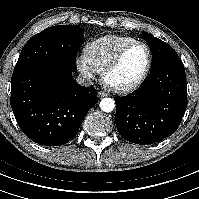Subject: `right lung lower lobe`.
I'll use <instances>...</instances> for the list:
<instances>
[{"instance_id": "98d812e1", "label": "right lung lower lobe", "mask_w": 199, "mask_h": 199, "mask_svg": "<svg viewBox=\"0 0 199 199\" xmlns=\"http://www.w3.org/2000/svg\"><path fill=\"white\" fill-rule=\"evenodd\" d=\"M72 73L59 65H39L12 75L11 108L32 141L45 146L69 142L98 102L96 89L80 86Z\"/></svg>"}]
</instances>
